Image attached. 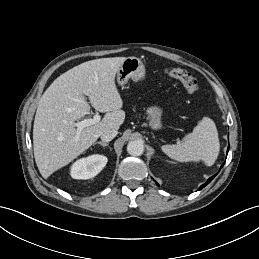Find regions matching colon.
Segmentation results:
<instances>
[{
  "instance_id": "1",
  "label": "colon",
  "mask_w": 259,
  "mask_h": 259,
  "mask_svg": "<svg viewBox=\"0 0 259 259\" xmlns=\"http://www.w3.org/2000/svg\"><path fill=\"white\" fill-rule=\"evenodd\" d=\"M166 74L181 82L188 94L193 95L198 91L196 79L186 70L181 68H167Z\"/></svg>"
}]
</instances>
